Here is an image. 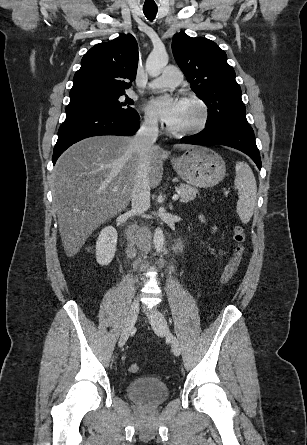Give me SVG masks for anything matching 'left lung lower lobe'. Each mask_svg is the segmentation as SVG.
Here are the masks:
<instances>
[{
  "label": "left lung lower lobe",
  "instance_id": "obj_1",
  "mask_svg": "<svg viewBox=\"0 0 307 445\" xmlns=\"http://www.w3.org/2000/svg\"><path fill=\"white\" fill-rule=\"evenodd\" d=\"M187 144H219L238 149L252 158L261 169V159L256 146L253 129L249 125L225 123L212 128H205L198 134L183 137Z\"/></svg>",
  "mask_w": 307,
  "mask_h": 445
}]
</instances>
